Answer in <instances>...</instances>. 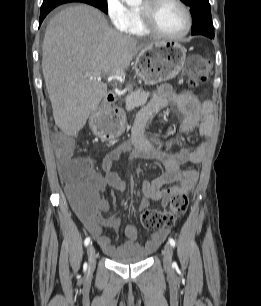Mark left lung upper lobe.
I'll return each mask as SVG.
<instances>
[{
	"label": "left lung upper lobe",
	"instance_id": "obj_1",
	"mask_svg": "<svg viewBox=\"0 0 261 306\" xmlns=\"http://www.w3.org/2000/svg\"><path fill=\"white\" fill-rule=\"evenodd\" d=\"M191 9L193 19L192 34L212 35L213 24L208 0H181Z\"/></svg>",
	"mask_w": 261,
	"mask_h": 306
}]
</instances>
